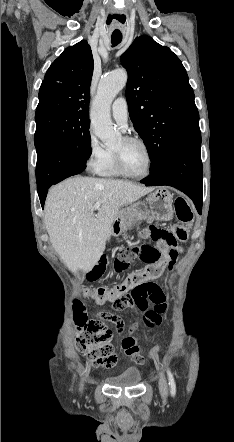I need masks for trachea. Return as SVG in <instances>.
<instances>
[{"label": "trachea", "instance_id": "1", "mask_svg": "<svg viewBox=\"0 0 234 442\" xmlns=\"http://www.w3.org/2000/svg\"><path fill=\"white\" fill-rule=\"evenodd\" d=\"M122 41V37L120 36H112L111 42L113 46L118 45Z\"/></svg>", "mask_w": 234, "mask_h": 442}]
</instances>
